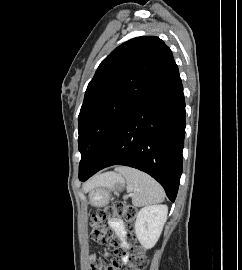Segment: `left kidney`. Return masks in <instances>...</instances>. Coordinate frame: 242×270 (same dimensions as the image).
Segmentation results:
<instances>
[{
    "mask_svg": "<svg viewBox=\"0 0 242 270\" xmlns=\"http://www.w3.org/2000/svg\"><path fill=\"white\" fill-rule=\"evenodd\" d=\"M166 205H151L140 209L135 222V233L145 249H151L157 243L167 219Z\"/></svg>",
    "mask_w": 242,
    "mask_h": 270,
    "instance_id": "5707ae66",
    "label": "left kidney"
}]
</instances>
